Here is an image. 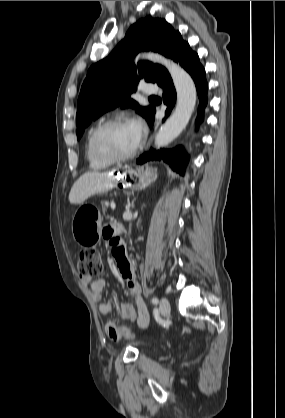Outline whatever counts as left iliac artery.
<instances>
[{
	"label": "left iliac artery",
	"instance_id": "44dca946",
	"mask_svg": "<svg viewBox=\"0 0 285 418\" xmlns=\"http://www.w3.org/2000/svg\"><path fill=\"white\" fill-rule=\"evenodd\" d=\"M151 302H152L153 304L157 305V304H158V302H159V300H158V298L153 297V298L151 299Z\"/></svg>",
	"mask_w": 285,
	"mask_h": 418
}]
</instances>
